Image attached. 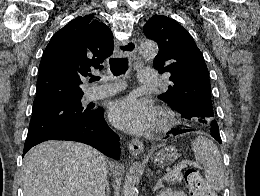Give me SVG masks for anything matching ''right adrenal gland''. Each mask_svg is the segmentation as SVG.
<instances>
[{
  "label": "right adrenal gland",
  "mask_w": 260,
  "mask_h": 196,
  "mask_svg": "<svg viewBox=\"0 0 260 196\" xmlns=\"http://www.w3.org/2000/svg\"><path fill=\"white\" fill-rule=\"evenodd\" d=\"M105 196H110L109 184H107V186H106V194H105Z\"/></svg>",
  "instance_id": "obj_1"
}]
</instances>
